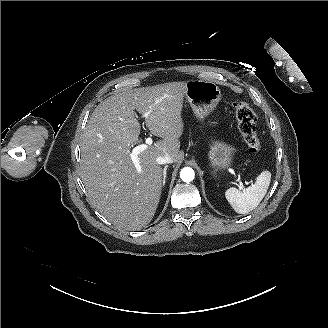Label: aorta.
Instances as JSON below:
<instances>
[{
	"instance_id": "aorta-1",
	"label": "aorta",
	"mask_w": 328,
	"mask_h": 328,
	"mask_svg": "<svg viewBox=\"0 0 328 328\" xmlns=\"http://www.w3.org/2000/svg\"><path fill=\"white\" fill-rule=\"evenodd\" d=\"M195 177V172L190 167H185L180 171V178L184 182H191Z\"/></svg>"
}]
</instances>
